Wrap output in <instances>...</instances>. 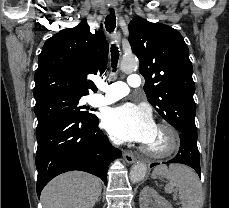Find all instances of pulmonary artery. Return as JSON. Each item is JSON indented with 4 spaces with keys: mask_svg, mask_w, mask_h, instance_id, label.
Masks as SVG:
<instances>
[{
    "mask_svg": "<svg viewBox=\"0 0 229 208\" xmlns=\"http://www.w3.org/2000/svg\"><path fill=\"white\" fill-rule=\"evenodd\" d=\"M126 74H129L126 81H117L110 85L104 81H99L97 83V87L99 91L103 92L104 94L98 93L92 95L89 99V102L92 105L108 104L126 96L130 91V87L136 88L141 85L142 79L139 74L132 72H127Z\"/></svg>",
    "mask_w": 229,
    "mask_h": 208,
    "instance_id": "pulmonary-artery-1",
    "label": "pulmonary artery"
}]
</instances>
